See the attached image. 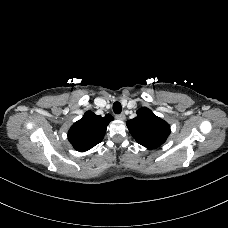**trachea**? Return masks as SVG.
<instances>
[{
	"label": "trachea",
	"mask_w": 228,
	"mask_h": 228,
	"mask_svg": "<svg viewBox=\"0 0 228 228\" xmlns=\"http://www.w3.org/2000/svg\"><path fill=\"white\" fill-rule=\"evenodd\" d=\"M113 111H114L115 114H120L121 113L122 107H121L120 102H115L113 104Z\"/></svg>",
	"instance_id": "3493384b"
}]
</instances>
